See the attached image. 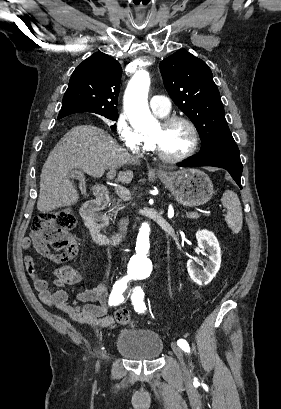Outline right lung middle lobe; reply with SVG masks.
<instances>
[{
  "label": "right lung middle lobe",
  "instance_id": "dd1d6c3e",
  "mask_svg": "<svg viewBox=\"0 0 281 409\" xmlns=\"http://www.w3.org/2000/svg\"><path fill=\"white\" fill-rule=\"evenodd\" d=\"M108 119L111 120H117L118 119V113H106V114H100Z\"/></svg>",
  "mask_w": 281,
  "mask_h": 409
}]
</instances>
